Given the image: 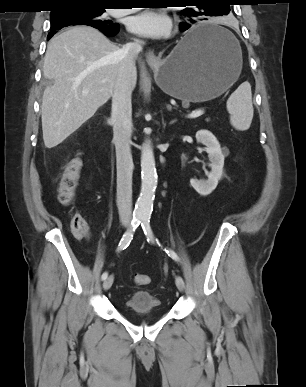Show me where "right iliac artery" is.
Listing matches in <instances>:
<instances>
[{"label": "right iliac artery", "mask_w": 306, "mask_h": 387, "mask_svg": "<svg viewBox=\"0 0 306 387\" xmlns=\"http://www.w3.org/2000/svg\"><path fill=\"white\" fill-rule=\"evenodd\" d=\"M140 223H141V218L134 217V219L131 222L130 228L124 233V235L120 240V243L117 248L118 251L124 250L129 246L130 242L133 239L134 231L136 230V228L139 226ZM107 277H108V273L104 272L101 276V279L105 280Z\"/></svg>", "instance_id": "1"}]
</instances>
